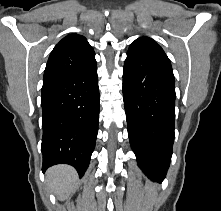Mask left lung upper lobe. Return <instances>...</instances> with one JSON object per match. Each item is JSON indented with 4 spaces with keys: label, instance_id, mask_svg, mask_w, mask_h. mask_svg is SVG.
<instances>
[{
    "label": "left lung upper lobe",
    "instance_id": "obj_1",
    "mask_svg": "<svg viewBox=\"0 0 221 211\" xmlns=\"http://www.w3.org/2000/svg\"><path fill=\"white\" fill-rule=\"evenodd\" d=\"M127 54H140L152 59H156L171 65L170 60L153 39L148 37H141L136 39L129 47Z\"/></svg>",
    "mask_w": 221,
    "mask_h": 211
}]
</instances>
